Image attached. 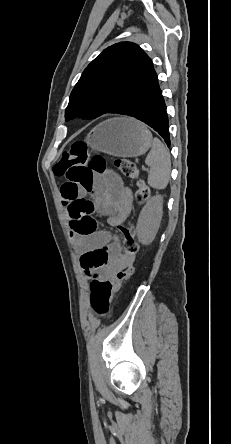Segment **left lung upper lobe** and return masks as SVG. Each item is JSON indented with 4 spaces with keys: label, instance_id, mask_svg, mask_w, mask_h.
<instances>
[{
    "label": "left lung upper lobe",
    "instance_id": "1",
    "mask_svg": "<svg viewBox=\"0 0 231 444\" xmlns=\"http://www.w3.org/2000/svg\"><path fill=\"white\" fill-rule=\"evenodd\" d=\"M152 69V60L135 43L120 42L106 48L73 88L65 119L78 114L98 117L117 113Z\"/></svg>",
    "mask_w": 231,
    "mask_h": 444
}]
</instances>
